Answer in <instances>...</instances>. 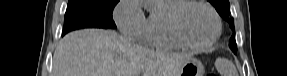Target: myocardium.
Returning a JSON list of instances; mask_svg holds the SVG:
<instances>
[{
    "mask_svg": "<svg viewBox=\"0 0 287 76\" xmlns=\"http://www.w3.org/2000/svg\"><path fill=\"white\" fill-rule=\"evenodd\" d=\"M190 6H201L208 10L210 14L212 15L216 29L215 33L212 36V38L207 41L206 43H193L188 38L185 36L181 24H180V19L183 14V12ZM169 25H170V30L175 37V39L183 46L186 48L190 49H195V50H203L212 47L216 41L219 39L221 33H222V22L220 19V16L216 12V10L209 5L208 3L204 1H196V0H181V2L175 6L169 15Z\"/></svg>",
    "mask_w": 287,
    "mask_h": 76,
    "instance_id": "f54148a6",
    "label": "myocardium"
}]
</instances>
